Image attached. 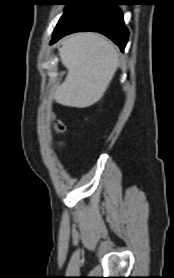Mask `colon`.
Here are the masks:
<instances>
[{
    "label": "colon",
    "mask_w": 174,
    "mask_h": 278,
    "mask_svg": "<svg viewBox=\"0 0 174 278\" xmlns=\"http://www.w3.org/2000/svg\"><path fill=\"white\" fill-rule=\"evenodd\" d=\"M53 129L57 133H62L64 131V125L61 121L55 120L53 122Z\"/></svg>",
    "instance_id": "obj_1"
}]
</instances>
